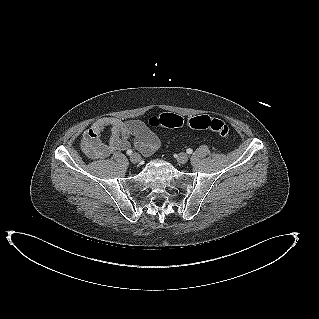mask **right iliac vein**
Wrapping results in <instances>:
<instances>
[{
  "mask_svg": "<svg viewBox=\"0 0 319 319\" xmlns=\"http://www.w3.org/2000/svg\"><path fill=\"white\" fill-rule=\"evenodd\" d=\"M141 160V156L138 153H134L130 156V161L133 164H138Z\"/></svg>",
  "mask_w": 319,
  "mask_h": 319,
  "instance_id": "right-iliac-vein-1",
  "label": "right iliac vein"
}]
</instances>
